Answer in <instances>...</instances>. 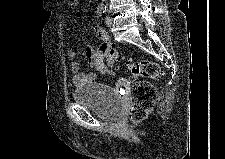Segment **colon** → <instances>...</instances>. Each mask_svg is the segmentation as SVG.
Instances as JSON below:
<instances>
[{
    "label": "colon",
    "instance_id": "5ec220e1",
    "mask_svg": "<svg viewBox=\"0 0 225 159\" xmlns=\"http://www.w3.org/2000/svg\"><path fill=\"white\" fill-rule=\"evenodd\" d=\"M75 2L76 0H70ZM100 58L105 59L110 68L114 67L118 60L124 59L122 53L111 47H100L98 49ZM127 70L133 78L158 79L161 76L160 66L147 59H126ZM157 91L155 87L146 80H136L132 87L131 103L129 106L128 117L133 122L143 120L153 109L156 101Z\"/></svg>",
    "mask_w": 225,
    "mask_h": 159
}]
</instances>
